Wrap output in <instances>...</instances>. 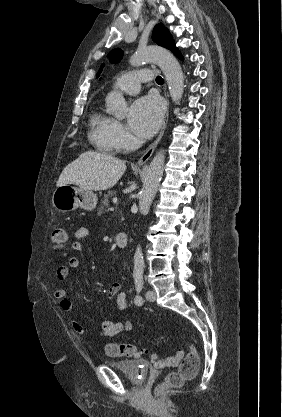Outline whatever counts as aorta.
<instances>
[{"label": "aorta", "instance_id": "1", "mask_svg": "<svg viewBox=\"0 0 282 417\" xmlns=\"http://www.w3.org/2000/svg\"><path fill=\"white\" fill-rule=\"evenodd\" d=\"M154 60L165 74L170 96L179 104L184 92V76L182 68L172 52L162 46H146L137 48L135 54L130 56L132 66H141L143 62ZM107 112L114 114L115 118H124L127 110V102L120 90H112L106 96ZM165 154L160 150L151 160L144 178V184L139 192V211L141 215L149 213L153 198L157 192L158 184L162 178L164 170ZM144 257L141 245H137L133 257V279H143Z\"/></svg>", "mask_w": 282, "mask_h": 417}]
</instances>
